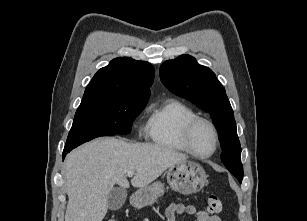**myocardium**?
Wrapping results in <instances>:
<instances>
[{"label":"myocardium","instance_id":"1","mask_svg":"<svg viewBox=\"0 0 307 221\" xmlns=\"http://www.w3.org/2000/svg\"><path fill=\"white\" fill-rule=\"evenodd\" d=\"M200 123L207 125L211 129L213 136H214V148L208 154L198 153L194 149L192 142H191L192 133H193L195 127ZM181 142H182L184 148L186 149V151L189 152L191 155H193L197 158H200V159L210 158L211 156H213L216 153V151L219 147L218 130H217L216 126L209 119L201 117V116H195L194 118L187 121L186 124L184 125L182 133H181Z\"/></svg>","mask_w":307,"mask_h":221}]
</instances>
